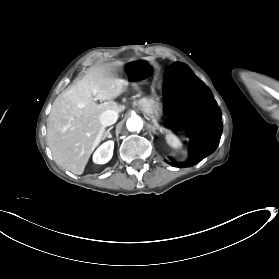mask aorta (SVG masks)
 I'll list each match as a JSON object with an SVG mask.
<instances>
[{
	"instance_id": "1",
	"label": "aorta",
	"mask_w": 279,
	"mask_h": 279,
	"mask_svg": "<svg viewBox=\"0 0 279 279\" xmlns=\"http://www.w3.org/2000/svg\"><path fill=\"white\" fill-rule=\"evenodd\" d=\"M126 126H127V129L131 132H133V131L139 132L143 127V122L139 116L135 115V116H131L127 120Z\"/></svg>"
}]
</instances>
